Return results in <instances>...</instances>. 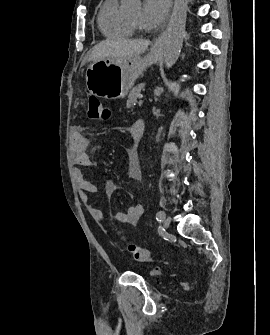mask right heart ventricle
Returning <instances> with one entry per match:
<instances>
[{
	"instance_id": "e07e8e85",
	"label": "right heart ventricle",
	"mask_w": 270,
	"mask_h": 335,
	"mask_svg": "<svg viewBox=\"0 0 270 335\" xmlns=\"http://www.w3.org/2000/svg\"><path fill=\"white\" fill-rule=\"evenodd\" d=\"M97 24L100 32L107 38H129L134 34L126 18L119 13L118 0H106L100 5Z\"/></svg>"
}]
</instances>
